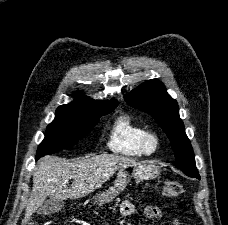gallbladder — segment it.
<instances>
[{
  "instance_id": "gallbladder-1",
  "label": "gallbladder",
  "mask_w": 228,
  "mask_h": 225,
  "mask_svg": "<svg viewBox=\"0 0 228 225\" xmlns=\"http://www.w3.org/2000/svg\"><path fill=\"white\" fill-rule=\"evenodd\" d=\"M64 201H60V199H48L46 203H44L43 207H40V213L43 215H53V213H58V211H62L64 209Z\"/></svg>"
}]
</instances>
